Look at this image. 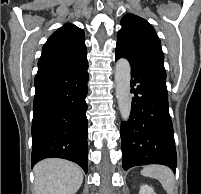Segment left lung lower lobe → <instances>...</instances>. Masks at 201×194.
I'll use <instances>...</instances> for the list:
<instances>
[{
  "label": "left lung lower lobe",
  "instance_id": "1",
  "mask_svg": "<svg viewBox=\"0 0 201 194\" xmlns=\"http://www.w3.org/2000/svg\"><path fill=\"white\" fill-rule=\"evenodd\" d=\"M116 60L125 57L131 70L132 110L121 124L123 169L163 164L174 172L177 165L174 132L168 110L166 71L161 65L134 60L119 49Z\"/></svg>",
  "mask_w": 201,
  "mask_h": 194
}]
</instances>
